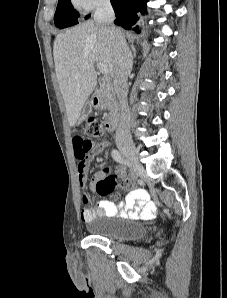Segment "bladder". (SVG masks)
<instances>
[{
  "instance_id": "31cf9c89",
  "label": "bladder",
  "mask_w": 227,
  "mask_h": 298,
  "mask_svg": "<svg viewBox=\"0 0 227 298\" xmlns=\"http://www.w3.org/2000/svg\"><path fill=\"white\" fill-rule=\"evenodd\" d=\"M87 230L91 235L119 241L135 240L147 234L146 227L138 222L102 217L90 221Z\"/></svg>"
}]
</instances>
